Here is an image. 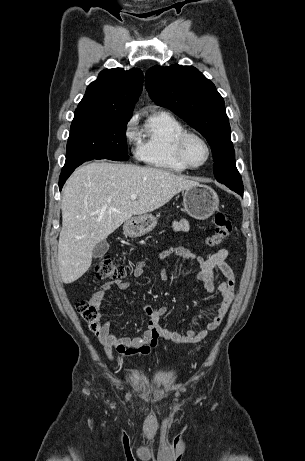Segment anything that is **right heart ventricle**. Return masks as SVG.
<instances>
[{
  "mask_svg": "<svg viewBox=\"0 0 305 461\" xmlns=\"http://www.w3.org/2000/svg\"><path fill=\"white\" fill-rule=\"evenodd\" d=\"M185 126L172 114L160 111L152 114L137 132V157L144 163L170 172L188 169L176 152L178 137Z\"/></svg>",
  "mask_w": 305,
  "mask_h": 461,
  "instance_id": "1",
  "label": "right heart ventricle"
}]
</instances>
